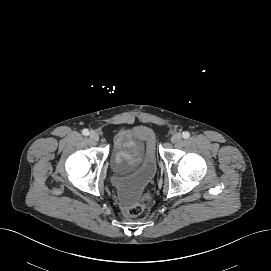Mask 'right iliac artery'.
Wrapping results in <instances>:
<instances>
[{"label": "right iliac artery", "mask_w": 271, "mask_h": 271, "mask_svg": "<svg viewBox=\"0 0 271 271\" xmlns=\"http://www.w3.org/2000/svg\"><path fill=\"white\" fill-rule=\"evenodd\" d=\"M82 134L85 135V136L89 135L88 129H84V130L82 131Z\"/></svg>", "instance_id": "right-iliac-artery-1"}]
</instances>
